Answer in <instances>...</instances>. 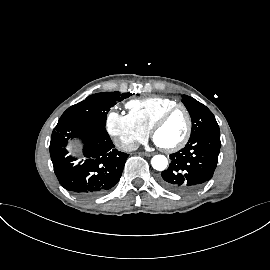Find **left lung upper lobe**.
Segmentation results:
<instances>
[{"label":"left lung upper lobe","instance_id":"1","mask_svg":"<svg viewBox=\"0 0 270 270\" xmlns=\"http://www.w3.org/2000/svg\"><path fill=\"white\" fill-rule=\"evenodd\" d=\"M182 102L192 119L190 139L202 133H220L214 115L205 105L187 95H183Z\"/></svg>","mask_w":270,"mask_h":270}]
</instances>
